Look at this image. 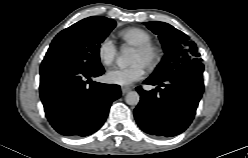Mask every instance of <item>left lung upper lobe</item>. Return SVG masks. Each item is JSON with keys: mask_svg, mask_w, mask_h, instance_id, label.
<instances>
[{"mask_svg": "<svg viewBox=\"0 0 248 158\" xmlns=\"http://www.w3.org/2000/svg\"><path fill=\"white\" fill-rule=\"evenodd\" d=\"M144 24L158 35L165 53L162 62L150 77L161 79L186 63L200 61L196 44L180 30L164 22Z\"/></svg>", "mask_w": 248, "mask_h": 158, "instance_id": "5c2ea615", "label": "left lung upper lobe"}]
</instances>
